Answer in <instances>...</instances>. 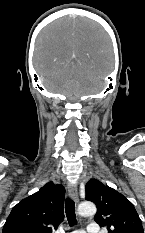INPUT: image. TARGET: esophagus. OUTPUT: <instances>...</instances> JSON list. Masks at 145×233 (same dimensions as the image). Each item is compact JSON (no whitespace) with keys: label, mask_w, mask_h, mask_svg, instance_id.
Masks as SVG:
<instances>
[{"label":"esophagus","mask_w":145,"mask_h":233,"mask_svg":"<svg viewBox=\"0 0 145 233\" xmlns=\"http://www.w3.org/2000/svg\"><path fill=\"white\" fill-rule=\"evenodd\" d=\"M67 190L70 195V197L76 202H79V195H78V190L77 187L74 184L69 183L67 185Z\"/></svg>","instance_id":"obj_1"}]
</instances>
